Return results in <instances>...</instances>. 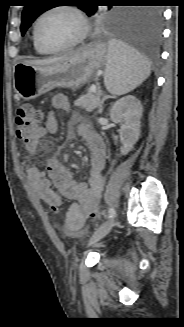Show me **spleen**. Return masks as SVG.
<instances>
[{"label": "spleen", "instance_id": "1", "mask_svg": "<svg viewBox=\"0 0 184 327\" xmlns=\"http://www.w3.org/2000/svg\"><path fill=\"white\" fill-rule=\"evenodd\" d=\"M104 83L113 95H124L138 87L151 73L149 62L125 43L108 41Z\"/></svg>", "mask_w": 184, "mask_h": 327}]
</instances>
